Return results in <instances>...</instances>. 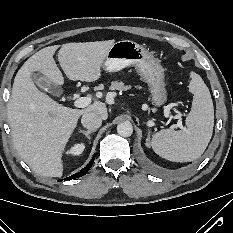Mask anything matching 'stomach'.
Wrapping results in <instances>:
<instances>
[{
	"label": "stomach",
	"instance_id": "stomach-1",
	"mask_svg": "<svg viewBox=\"0 0 233 233\" xmlns=\"http://www.w3.org/2000/svg\"><path fill=\"white\" fill-rule=\"evenodd\" d=\"M127 66H134L141 80L148 85L149 100L154 106L159 107L167 101L164 70L158 59L134 41H117L108 50L103 68L108 72H117Z\"/></svg>",
	"mask_w": 233,
	"mask_h": 233
}]
</instances>
